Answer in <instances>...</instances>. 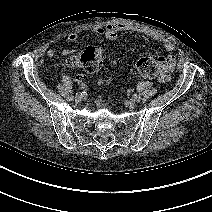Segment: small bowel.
I'll list each match as a JSON object with an SVG mask.
<instances>
[{
  "label": "small bowel",
  "instance_id": "obj_1",
  "mask_svg": "<svg viewBox=\"0 0 212 212\" xmlns=\"http://www.w3.org/2000/svg\"><path fill=\"white\" fill-rule=\"evenodd\" d=\"M91 31L97 35H103L111 41L117 40V38L119 37V34L121 32L131 31V32H136V33L145 35L148 38L163 44L165 49L169 52L174 51L176 48V45L174 42L167 39L165 36H163L159 32H157L155 30L135 26L132 24H128V23H109L106 25H97V26L92 27ZM77 39H78L77 33H71L68 36V40L70 42H75ZM72 52H73V50H71V49L58 50L56 48H50L47 51V55L49 57L67 56V55L71 54ZM160 58L163 61V66H162L161 76L159 77V81L162 83H165L169 80L170 72L174 68L175 57L173 55H168V56L160 57ZM86 79H87V76H85V75H77L75 77V81L80 85H83L85 83Z\"/></svg>",
  "mask_w": 212,
  "mask_h": 212
}]
</instances>
